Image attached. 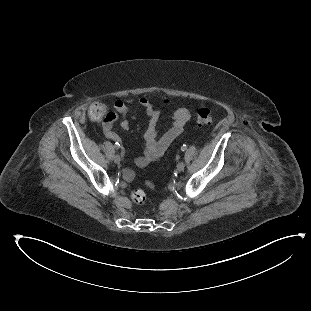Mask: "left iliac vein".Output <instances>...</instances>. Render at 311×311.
<instances>
[{"label": "left iliac vein", "instance_id": "left-iliac-vein-1", "mask_svg": "<svg viewBox=\"0 0 311 311\" xmlns=\"http://www.w3.org/2000/svg\"><path fill=\"white\" fill-rule=\"evenodd\" d=\"M184 168H185L184 162H179V163L177 164L176 170H177L178 172H182V171L184 170Z\"/></svg>", "mask_w": 311, "mask_h": 311}]
</instances>
